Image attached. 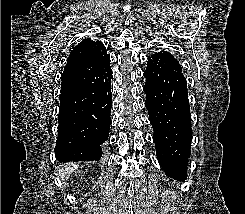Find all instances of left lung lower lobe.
<instances>
[{
	"mask_svg": "<svg viewBox=\"0 0 245 214\" xmlns=\"http://www.w3.org/2000/svg\"><path fill=\"white\" fill-rule=\"evenodd\" d=\"M144 76L145 105L159 163L168 177L184 181L192 135L186 79L181 72L155 64H148Z\"/></svg>",
	"mask_w": 245,
	"mask_h": 214,
	"instance_id": "0a47b994",
	"label": "left lung lower lobe"
}]
</instances>
